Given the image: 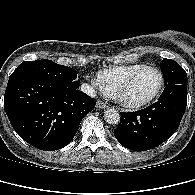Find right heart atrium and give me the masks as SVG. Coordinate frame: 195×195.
Instances as JSON below:
<instances>
[{
  "label": "right heart atrium",
  "mask_w": 195,
  "mask_h": 195,
  "mask_svg": "<svg viewBox=\"0 0 195 195\" xmlns=\"http://www.w3.org/2000/svg\"><path fill=\"white\" fill-rule=\"evenodd\" d=\"M96 88L103 91V92H105V93H107V91L104 88V85L102 84V82H101V80L99 79L98 76L92 79L91 86L89 87V90H93V89H96Z\"/></svg>",
  "instance_id": "d8ad5b80"
}]
</instances>
